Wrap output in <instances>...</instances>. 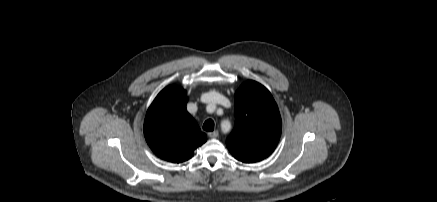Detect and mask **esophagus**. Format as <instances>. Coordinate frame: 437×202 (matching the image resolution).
I'll return each instance as SVG.
<instances>
[{"label": "esophagus", "mask_w": 437, "mask_h": 202, "mask_svg": "<svg viewBox=\"0 0 437 202\" xmlns=\"http://www.w3.org/2000/svg\"><path fill=\"white\" fill-rule=\"evenodd\" d=\"M218 135H219L218 131H213V132L208 133V136L210 138H216V137H218Z\"/></svg>", "instance_id": "esophagus-1"}]
</instances>
